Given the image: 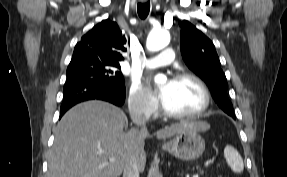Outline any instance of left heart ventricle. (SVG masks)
<instances>
[{
    "label": "left heart ventricle",
    "mask_w": 287,
    "mask_h": 177,
    "mask_svg": "<svg viewBox=\"0 0 287 177\" xmlns=\"http://www.w3.org/2000/svg\"><path fill=\"white\" fill-rule=\"evenodd\" d=\"M165 95L162 103L166 108L175 113H193L203 102L200 88L192 81H172L166 83Z\"/></svg>",
    "instance_id": "1"
}]
</instances>
